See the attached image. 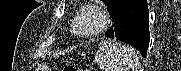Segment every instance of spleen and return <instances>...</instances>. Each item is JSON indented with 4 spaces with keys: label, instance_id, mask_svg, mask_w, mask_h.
Returning a JSON list of instances; mask_svg holds the SVG:
<instances>
[{
    "label": "spleen",
    "instance_id": "spleen-1",
    "mask_svg": "<svg viewBox=\"0 0 181 71\" xmlns=\"http://www.w3.org/2000/svg\"><path fill=\"white\" fill-rule=\"evenodd\" d=\"M95 62L101 71H138L139 68V58L132 49L107 40L100 42Z\"/></svg>",
    "mask_w": 181,
    "mask_h": 71
}]
</instances>
